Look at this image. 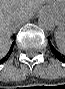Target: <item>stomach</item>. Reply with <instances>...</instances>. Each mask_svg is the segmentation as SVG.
Wrapping results in <instances>:
<instances>
[{"instance_id": "1", "label": "stomach", "mask_w": 65, "mask_h": 89, "mask_svg": "<svg viewBox=\"0 0 65 89\" xmlns=\"http://www.w3.org/2000/svg\"><path fill=\"white\" fill-rule=\"evenodd\" d=\"M48 8L56 15L59 26L62 30L65 28V1L63 3L54 2L48 5Z\"/></svg>"}]
</instances>
